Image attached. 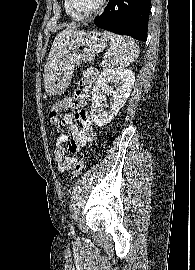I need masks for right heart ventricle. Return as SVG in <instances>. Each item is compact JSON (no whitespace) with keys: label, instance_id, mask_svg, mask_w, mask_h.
I'll return each mask as SVG.
<instances>
[{"label":"right heart ventricle","instance_id":"e07e8e85","mask_svg":"<svg viewBox=\"0 0 195 270\" xmlns=\"http://www.w3.org/2000/svg\"><path fill=\"white\" fill-rule=\"evenodd\" d=\"M64 7H65V10H66L67 15H68L70 18H72L73 20H76V21L81 20V19H79L78 17H76L74 14H72V13L70 12V10H69V8H68V6H67V1H66V0H64Z\"/></svg>","mask_w":195,"mask_h":270}]
</instances>
